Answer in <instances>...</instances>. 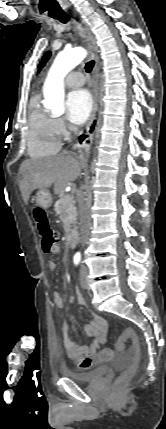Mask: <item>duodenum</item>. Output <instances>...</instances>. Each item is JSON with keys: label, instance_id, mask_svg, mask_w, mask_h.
Returning a JSON list of instances; mask_svg holds the SVG:
<instances>
[{"label": "duodenum", "instance_id": "obj_1", "mask_svg": "<svg viewBox=\"0 0 166 429\" xmlns=\"http://www.w3.org/2000/svg\"><path fill=\"white\" fill-rule=\"evenodd\" d=\"M76 237H77V235H76V232H74V231L69 234V236H68V245H69L70 248H74L75 247V245H76Z\"/></svg>", "mask_w": 166, "mask_h": 429}]
</instances>
